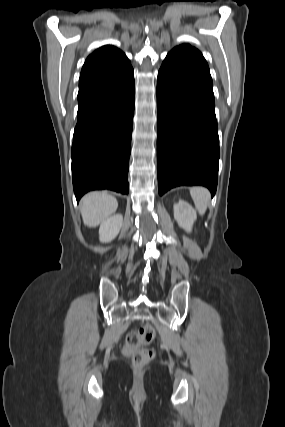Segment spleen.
<instances>
[{
  "mask_svg": "<svg viewBox=\"0 0 285 427\" xmlns=\"http://www.w3.org/2000/svg\"><path fill=\"white\" fill-rule=\"evenodd\" d=\"M190 194L198 212L201 215L205 214L210 201L209 191L204 187H193L190 189Z\"/></svg>",
  "mask_w": 285,
  "mask_h": 427,
  "instance_id": "3e777b00",
  "label": "spleen"
}]
</instances>
